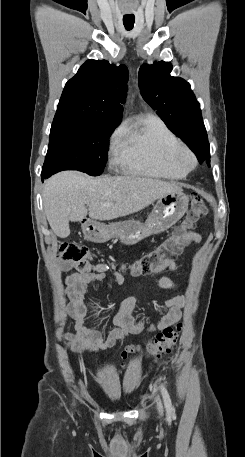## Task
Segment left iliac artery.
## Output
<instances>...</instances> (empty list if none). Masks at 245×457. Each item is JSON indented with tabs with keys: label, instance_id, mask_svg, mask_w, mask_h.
Returning a JSON list of instances; mask_svg holds the SVG:
<instances>
[{
	"label": "left iliac artery",
	"instance_id": "44dca946",
	"mask_svg": "<svg viewBox=\"0 0 245 457\" xmlns=\"http://www.w3.org/2000/svg\"><path fill=\"white\" fill-rule=\"evenodd\" d=\"M161 393H162V396H163V400H164V404H165L166 410L168 412H171L173 410L171 398H170V395H169L167 389L164 386H161Z\"/></svg>",
	"mask_w": 245,
	"mask_h": 457
}]
</instances>
